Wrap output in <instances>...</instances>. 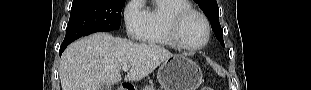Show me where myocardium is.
<instances>
[{
    "label": "myocardium",
    "mask_w": 311,
    "mask_h": 90,
    "mask_svg": "<svg viewBox=\"0 0 311 90\" xmlns=\"http://www.w3.org/2000/svg\"><path fill=\"white\" fill-rule=\"evenodd\" d=\"M191 16H198L205 25V30H206L205 38L203 42L198 45H191L187 43L184 40L182 33H181V29H182L184 22ZM170 31H171L172 38L174 42L176 43L177 47L184 49V50H189V51L201 50L208 44L210 37H211V27H210L209 20L203 13L193 8L181 10L177 12L171 19Z\"/></svg>",
    "instance_id": "obj_1"
}]
</instances>
